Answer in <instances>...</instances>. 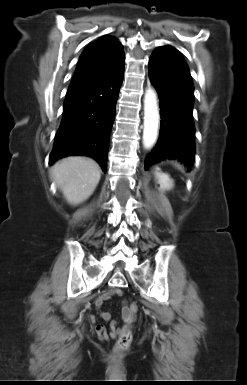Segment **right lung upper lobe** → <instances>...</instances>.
<instances>
[{
    "mask_svg": "<svg viewBox=\"0 0 247 385\" xmlns=\"http://www.w3.org/2000/svg\"><path fill=\"white\" fill-rule=\"evenodd\" d=\"M125 63L121 43L114 37L103 36L90 44L79 58L70 87L115 72Z\"/></svg>",
    "mask_w": 247,
    "mask_h": 385,
    "instance_id": "cb5924a9",
    "label": "right lung upper lobe"
}]
</instances>
